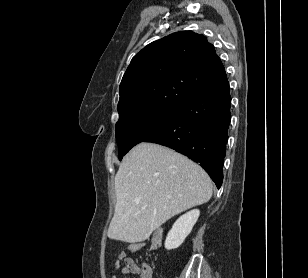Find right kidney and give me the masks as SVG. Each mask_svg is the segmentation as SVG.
<instances>
[{"label":"right kidney","mask_w":308,"mask_h":278,"mask_svg":"<svg viewBox=\"0 0 308 278\" xmlns=\"http://www.w3.org/2000/svg\"><path fill=\"white\" fill-rule=\"evenodd\" d=\"M200 211L195 209L182 215L172 226L165 240V248L172 250L178 248L192 231L198 220Z\"/></svg>","instance_id":"right-kidney-1"}]
</instances>
